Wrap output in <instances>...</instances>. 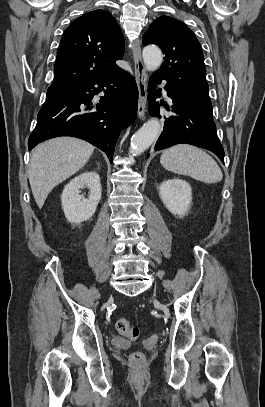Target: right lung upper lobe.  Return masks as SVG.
Returning <instances> with one entry per match:
<instances>
[{
	"label": "right lung upper lobe",
	"instance_id": "right-lung-upper-lobe-1",
	"mask_svg": "<svg viewBox=\"0 0 265 407\" xmlns=\"http://www.w3.org/2000/svg\"><path fill=\"white\" fill-rule=\"evenodd\" d=\"M124 54V38L116 19L105 10H95L77 18L64 32L54 66L51 86H76L119 67Z\"/></svg>",
	"mask_w": 265,
	"mask_h": 407
}]
</instances>
